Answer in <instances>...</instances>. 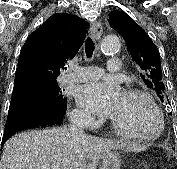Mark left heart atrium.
Masks as SVG:
<instances>
[{
  "instance_id": "left-heart-atrium-1",
  "label": "left heart atrium",
  "mask_w": 177,
  "mask_h": 169,
  "mask_svg": "<svg viewBox=\"0 0 177 169\" xmlns=\"http://www.w3.org/2000/svg\"><path fill=\"white\" fill-rule=\"evenodd\" d=\"M123 94L119 85L112 81H96L78 87L77 103L90 112L112 116Z\"/></svg>"
}]
</instances>
